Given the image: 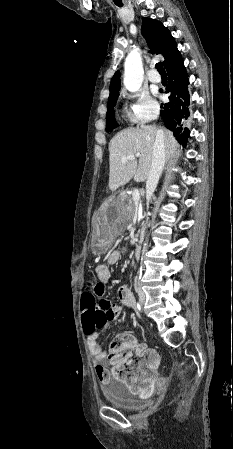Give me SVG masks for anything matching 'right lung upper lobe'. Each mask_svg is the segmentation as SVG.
<instances>
[{
	"label": "right lung upper lobe",
	"mask_w": 233,
	"mask_h": 449,
	"mask_svg": "<svg viewBox=\"0 0 233 449\" xmlns=\"http://www.w3.org/2000/svg\"><path fill=\"white\" fill-rule=\"evenodd\" d=\"M142 21V35L146 38L152 53L163 55L166 70L181 62V54L169 30L157 20L144 17ZM119 90L120 73L117 71L110 83L109 97L119 94Z\"/></svg>",
	"instance_id": "obj_1"
}]
</instances>
